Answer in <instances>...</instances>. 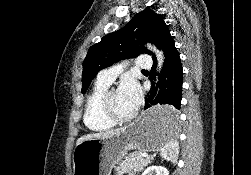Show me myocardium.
Instances as JSON below:
<instances>
[{
	"mask_svg": "<svg viewBox=\"0 0 251 175\" xmlns=\"http://www.w3.org/2000/svg\"><path fill=\"white\" fill-rule=\"evenodd\" d=\"M115 90H116L115 87H109L103 93V95L100 99V104H99L101 113L103 114V116L105 118H107L108 120H110L113 123L129 121L133 118V115H128V116L118 115V114H115L110 108L109 99H110L112 92Z\"/></svg>",
	"mask_w": 251,
	"mask_h": 175,
	"instance_id": "obj_1",
	"label": "myocardium"
}]
</instances>
